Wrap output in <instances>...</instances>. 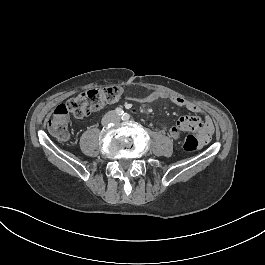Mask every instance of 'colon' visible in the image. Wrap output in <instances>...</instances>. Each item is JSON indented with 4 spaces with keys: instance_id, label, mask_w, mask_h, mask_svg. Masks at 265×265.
I'll return each mask as SVG.
<instances>
[{
    "instance_id": "colon-1",
    "label": "colon",
    "mask_w": 265,
    "mask_h": 265,
    "mask_svg": "<svg viewBox=\"0 0 265 265\" xmlns=\"http://www.w3.org/2000/svg\"><path fill=\"white\" fill-rule=\"evenodd\" d=\"M122 94L118 86L88 89L76 97L59 105L47 121L49 131L62 143L70 138L68 131V117L84 118L103 109L106 105L116 102ZM198 136L190 134L185 138L184 150L194 152L200 147Z\"/></svg>"
}]
</instances>
